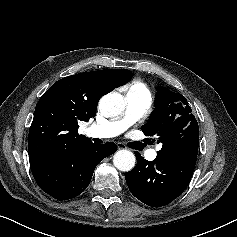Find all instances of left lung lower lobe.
<instances>
[{"instance_id":"left-lung-lower-lobe-1","label":"left lung lower lobe","mask_w":237,"mask_h":237,"mask_svg":"<svg viewBox=\"0 0 237 237\" xmlns=\"http://www.w3.org/2000/svg\"><path fill=\"white\" fill-rule=\"evenodd\" d=\"M137 165L125 174L130 192L141 202L161 207L176 199L189 184L197 159V154L181 157H157L145 160L135 152Z\"/></svg>"}]
</instances>
